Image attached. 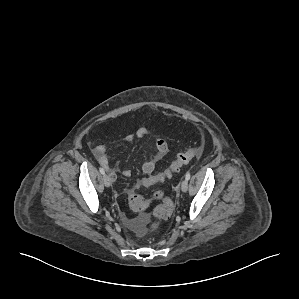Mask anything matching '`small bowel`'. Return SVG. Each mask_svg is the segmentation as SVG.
<instances>
[{"label":"small bowel","instance_id":"obj_1","mask_svg":"<svg viewBox=\"0 0 299 299\" xmlns=\"http://www.w3.org/2000/svg\"><path fill=\"white\" fill-rule=\"evenodd\" d=\"M147 134L148 130L142 127L137 129L135 132L127 134L124 137L120 138L119 141L129 143L134 141L135 139H142ZM145 145L150 150L151 157L150 159L143 162L142 171L145 174H151L154 171L156 164L166 155L168 147L166 142L162 139H159L154 143L147 141ZM94 154L98 163L109 172L111 179L115 181L117 178V171L114 167L110 166L106 148L104 146H97ZM122 174L124 176H130L131 173L128 169H124L122 170Z\"/></svg>","mask_w":299,"mask_h":299}]
</instances>
